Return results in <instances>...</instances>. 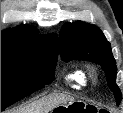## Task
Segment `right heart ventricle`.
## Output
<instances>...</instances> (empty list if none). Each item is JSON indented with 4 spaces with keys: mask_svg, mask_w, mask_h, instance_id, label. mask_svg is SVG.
Masks as SVG:
<instances>
[{
    "mask_svg": "<svg viewBox=\"0 0 123 113\" xmlns=\"http://www.w3.org/2000/svg\"><path fill=\"white\" fill-rule=\"evenodd\" d=\"M66 79L74 87H82L88 79V74L80 68H75L66 74Z\"/></svg>",
    "mask_w": 123,
    "mask_h": 113,
    "instance_id": "right-heart-ventricle-1",
    "label": "right heart ventricle"
}]
</instances>
